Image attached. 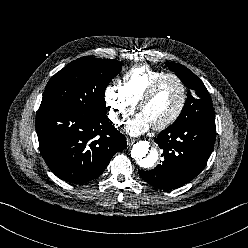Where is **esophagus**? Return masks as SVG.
<instances>
[{"label": "esophagus", "instance_id": "obj_1", "mask_svg": "<svg viewBox=\"0 0 248 248\" xmlns=\"http://www.w3.org/2000/svg\"><path fill=\"white\" fill-rule=\"evenodd\" d=\"M135 142H136V139H133V138H127V145H128V146L133 145Z\"/></svg>", "mask_w": 248, "mask_h": 248}]
</instances>
